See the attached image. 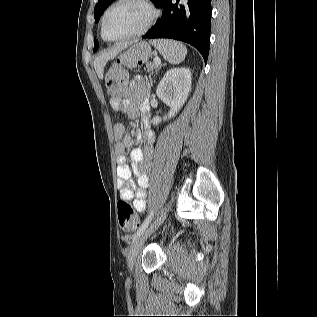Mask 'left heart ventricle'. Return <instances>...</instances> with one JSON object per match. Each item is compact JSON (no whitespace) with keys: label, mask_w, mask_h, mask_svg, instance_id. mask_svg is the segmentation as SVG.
Here are the masks:
<instances>
[{"label":"left heart ventricle","mask_w":317,"mask_h":317,"mask_svg":"<svg viewBox=\"0 0 317 317\" xmlns=\"http://www.w3.org/2000/svg\"><path fill=\"white\" fill-rule=\"evenodd\" d=\"M148 18L147 9L137 2H123L113 8L105 22V35L115 39L141 28Z\"/></svg>","instance_id":"obj_1"}]
</instances>
